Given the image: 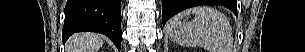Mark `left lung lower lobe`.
Here are the masks:
<instances>
[{"label":"left lung lower lobe","mask_w":305,"mask_h":52,"mask_svg":"<svg viewBox=\"0 0 305 52\" xmlns=\"http://www.w3.org/2000/svg\"><path fill=\"white\" fill-rule=\"evenodd\" d=\"M232 7L229 8L234 14L237 15V8H236V0H232ZM211 4V0H163L162 4V20L163 25L166 22L179 13L180 11L198 5H208Z\"/></svg>","instance_id":"obj_1"}]
</instances>
